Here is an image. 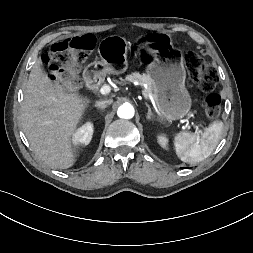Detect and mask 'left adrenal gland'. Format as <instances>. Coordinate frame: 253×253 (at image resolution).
Masks as SVG:
<instances>
[{"label":"left adrenal gland","mask_w":253,"mask_h":253,"mask_svg":"<svg viewBox=\"0 0 253 253\" xmlns=\"http://www.w3.org/2000/svg\"><path fill=\"white\" fill-rule=\"evenodd\" d=\"M146 106H147V108H148V113H147V119L148 120H152V116H153V114H152V111H151V108H150V106L146 103Z\"/></svg>","instance_id":"a2214340"}]
</instances>
